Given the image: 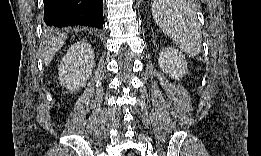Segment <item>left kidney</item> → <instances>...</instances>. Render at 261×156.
I'll return each instance as SVG.
<instances>
[{
  "label": "left kidney",
  "instance_id": "5707ae66",
  "mask_svg": "<svg viewBox=\"0 0 261 156\" xmlns=\"http://www.w3.org/2000/svg\"><path fill=\"white\" fill-rule=\"evenodd\" d=\"M160 69L175 80L185 75L188 71L184 55L176 49L164 48L158 59Z\"/></svg>",
  "mask_w": 261,
  "mask_h": 156
}]
</instances>
